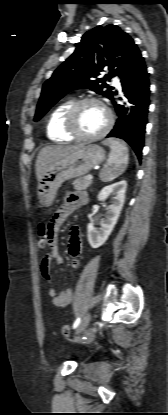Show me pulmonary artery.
Returning <instances> with one entry per match:
<instances>
[{
	"label": "pulmonary artery",
	"mask_w": 168,
	"mask_h": 415,
	"mask_svg": "<svg viewBox=\"0 0 168 415\" xmlns=\"http://www.w3.org/2000/svg\"><path fill=\"white\" fill-rule=\"evenodd\" d=\"M113 84H114V86H115L118 90H120V89H121V84H120V81H119V79H118V78H115V79H114Z\"/></svg>",
	"instance_id": "obj_1"
}]
</instances>
